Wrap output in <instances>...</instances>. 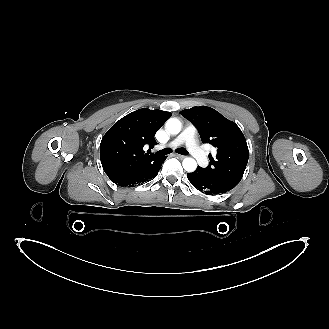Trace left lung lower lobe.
<instances>
[{
  "mask_svg": "<svg viewBox=\"0 0 329 329\" xmlns=\"http://www.w3.org/2000/svg\"><path fill=\"white\" fill-rule=\"evenodd\" d=\"M187 178L195 188L207 195L223 194L233 189L232 186L211 178L198 168L192 173H187Z\"/></svg>",
  "mask_w": 329,
  "mask_h": 329,
  "instance_id": "0a47b994",
  "label": "left lung lower lobe"
}]
</instances>
